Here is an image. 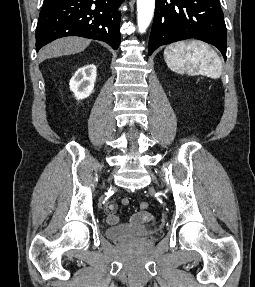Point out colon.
<instances>
[{
  "instance_id": "1",
  "label": "colon",
  "mask_w": 255,
  "mask_h": 287,
  "mask_svg": "<svg viewBox=\"0 0 255 287\" xmlns=\"http://www.w3.org/2000/svg\"><path fill=\"white\" fill-rule=\"evenodd\" d=\"M148 207H149L148 202L142 201V202L140 203V208H141L142 210H146V209H148Z\"/></svg>"
}]
</instances>
